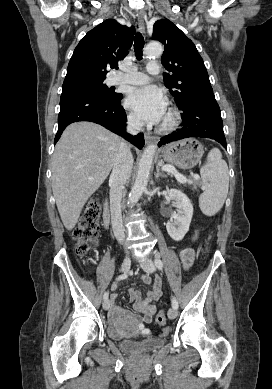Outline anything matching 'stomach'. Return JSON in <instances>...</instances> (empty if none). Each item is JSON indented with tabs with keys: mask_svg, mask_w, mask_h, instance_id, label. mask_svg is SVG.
Returning a JSON list of instances; mask_svg holds the SVG:
<instances>
[{
	"mask_svg": "<svg viewBox=\"0 0 272 389\" xmlns=\"http://www.w3.org/2000/svg\"><path fill=\"white\" fill-rule=\"evenodd\" d=\"M162 158L181 169H191L204 154L203 145L194 138L183 139L169 144L161 151Z\"/></svg>",
	"mask_w": 272,
	"mask_h": 389,
	"instance_id": "obj_1",
	"label": "stomach"
}]
</instances>
